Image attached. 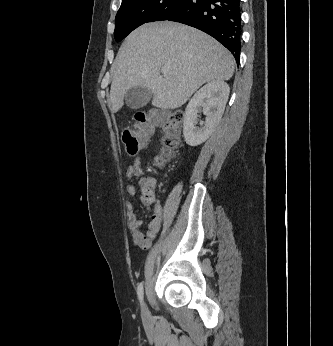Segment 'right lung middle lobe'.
<instances>
[{"label":"right lung middle lobe","instance_id":"right-lung-middle-lobe-1","mask_svg":"<svg viewBox=\"0 0 333 346\" xmlns=\"http://www.w3.org/2000/svg\"><path fill=\"white\" fill-rule=\"evenodd\" d=\"M184 0H122L114 36L121 41L138 26L167 19Z\"/></svg>","mask_w":333,"mask_h":346}]
</instances>
